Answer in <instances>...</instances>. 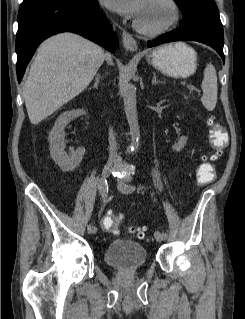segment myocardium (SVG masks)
Instances as JSON below:
<instances>
[{
    "label": "myocardium",
    "instance_id": "myocardium-1",
    "mask_svg": "<svg viewBox=\"0 0 245 319\" xmlns=\"http://www.w3.org/2000/svg\"><path fill=\"white\" fill-rule=\"evenodd\" d=\"M164 2L168 4L172 11L171 19L167 23L157 27L145 26L138 20H135L133 26L139 33L147 36H157L170 31L179 23L181 18V10L176 0H164Z\"/></svg>",
    "mask_w": 245,
    "mask_h": 319
}]
</instances>
